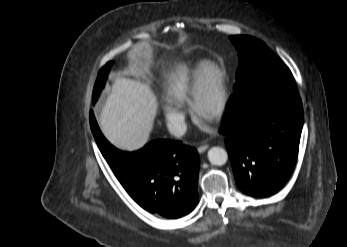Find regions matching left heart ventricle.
<instances>
[{"mask_svg": "<svg viewBox=\"0 0 347 247\" xmlns=\"http://www.w3.org/2000/svg\"><path fill=\"white\" fill-rule=\"evenodd\" d=\"M216 101V95L212 92L207 95V98L205 100V108L207 110L211 109Z\"/></svg>", "mask_w": 347, "mask_h": 247, "instance_id": "left-heart-ventricle-1", "label": "left heart ventricle"}]
</instances>
